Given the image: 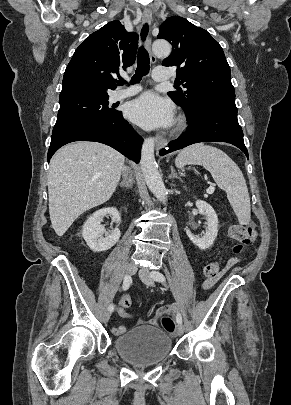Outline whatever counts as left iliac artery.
<instances>
[{"mask_svg": "<svg viewBox=\"0 0 291 405\" xmlns=\"http://www.w3.org/2000/svg\"><path fill=\"white\" fill-rule=\"evenodd\" d=\"M151 276H152V278L154 280H156L158 282H161V283L166 282L165 276L162 273L158 272V271H153L151 273ZM176 320H177L178 324H182V316H181L180 313H177Z\"/></svg>", "mask_w": 291, "mask_h": 405, "instance_id": "44dca946", "label": "left iliac artery"}]
</instances>
